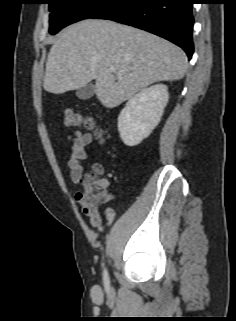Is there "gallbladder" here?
<instances>
[{"instance_id":"gallbladder-1","label":"gallbladder","mask_w":236,"mask_h":321,"mask_svg":"<svg viewBox=\"0 0 236 321\" xmlns=\"http://www.w3.org/2000/svg\"><path fill=\"white\" fill-rule=\"evenodd\" d=\"M94 85L88 83L87 85L77 89L76 96L81 100L90 99L94 95Z\"/></svg>"}]
</instances>
